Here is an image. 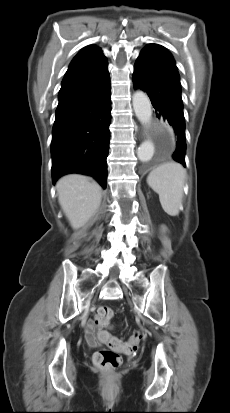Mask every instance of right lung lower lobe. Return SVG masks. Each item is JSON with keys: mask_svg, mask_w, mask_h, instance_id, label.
<instances>
[{"mask_svg": "<svg viewBox=\"0 0 230 413\" xmlns=\"http://www.w3.org/2000/svg\"><path fill=\"white\" fill-rule=\"evenodd\" d=\"M110 96L108 69L61 87L51 142L53 183L64 174L81 173L106 188Z\"/></svg>", "mask_w": 230, "mask_h": 413, "instance_id": "1", "label": "right lung lower lobe"}]
</instances>
